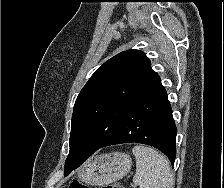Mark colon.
<instances>
[{
    "instance_id": "1",
    "label": "colon",
    "mask_w": 224,
    "mask_h": 188,
    "mask_svg": "<svg viewBox=\"0 0 224 188\" xmlns=\"http://www.w3.org/2000/svg\"><path fill=\"white\" fill-rule=\"evenodd\" d=\"M69 188H89V187L85 185L84 183L75 180L70 184ZM100 188H124V187L119 183H112V184H107L105 186H102Z\"/></svg>"
}]
</instances>
